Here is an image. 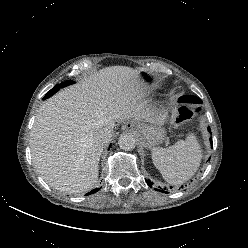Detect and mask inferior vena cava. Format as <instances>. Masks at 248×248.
Returning a JSON list of instances; mask_svg holds the SVG:
<instances>
[{
    "label": "inferior vena cava",
    "instance_id": "602c4592",
    "mask_svg": "<svg viewBox=\"0 0 248 248\" xmlns=\"http://www.w3.org/2000/svg\"><path fill=\"white\" fill-rule=\"evenodd\" d=\"M112 137V130L111 129H103L99 130L95 136L94 141L98 144L104 145L107 144Z\"/></svg>",
    "mask_w": 248,
    "mask_h": 248
}]
</instances>
